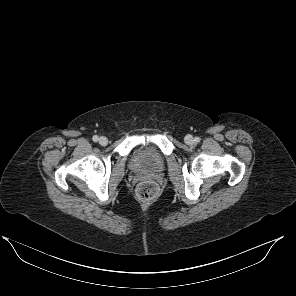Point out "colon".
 <instances>
[{
	"label": "colon",
	"instance_id": "colon-1",
	"mask_svg": "<svg viewBox=\"0 0 296 296\" xmlns=\"http://www.w3.org/2000/svg\"><path fill=\"white\" fill-rule=\"evenodd\" d=\"M157 194L158 186L153 181H143L137 186V195L144 202L154 200Z\"/></svg>",
	"mask_w": 296,
	"mask_h": 296
}]
</instances>
